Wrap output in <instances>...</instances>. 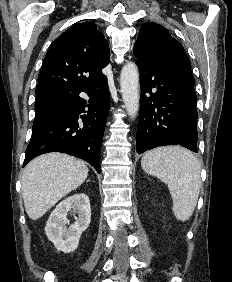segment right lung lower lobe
Wrapping results in <instances>:
<instances>
[{"label":"right lung lower lobe","instance_id":"obj_1","mask_svg":"<svg viewBox=\"0 0 232 282\" xmlns=\"http://www.w3.org/2000/svg\"><path fill=\"white\" fill-rule=\"evenodd\" d=\"M80 92L90 97L88 105L79 97ZM109 103L105 77L69 95L55 111L34 121L23 166L38 155L62 152L87 161L100 173V151ZM86 112L79 121V114Z\"/></svg>","mask_w":232,"mask_h":282}]
</instances>
